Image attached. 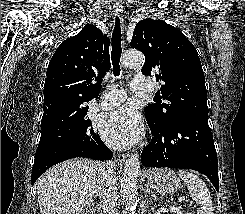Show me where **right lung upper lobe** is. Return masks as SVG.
<instances>
[{
  "instance_id": "obj_1",
  "label": "right lung upper lobe",
  "mask_w": 245,
  "mask_h": 214,
  "mask_svg": "<svg viewBox=\"0 0 245 214\" xmlns=\"http://www.w3.org/2000/svg\"><path fill=\"white\" fill-rule=\"evenodd\" d=\"M110 66L109 39L96 26L87 24L62 42L46 73L42 130L87 113L86 103L99 96Z\"/></svg>"
}]
</instances>
